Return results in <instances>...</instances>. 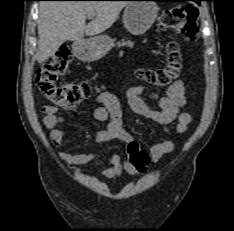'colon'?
Wrapping results in <instances>:
<instances>
[{"mask_svg": "<svg viewBox=\"0 0 234 231\" xmlns=\"http://www.w3.org/2000/svg\"><path fill=\"white\" fill-rule=\"evenodd\" d=\"M198 10L191 4H181L164 11L159 18L161 29H173L194 41L198 37ZM71 54L68 49L60 50L47 60L35 75V82L43 94L59 109H72L89 99L94 93V87L87 83H65L57 85L59 77L63 76L70 65ZM182 67V58L176 43L167 45L166 65L160 69L141 70L139 76L148 82L166 86L178 78ZM129 162L139 171L146 170L149 156L138 143L127 144Z\"/></svg>", "mask_w": 234, "mask_h": 231, "instance_id": "5ec220e1", "label": "colon"}]
</instances>
